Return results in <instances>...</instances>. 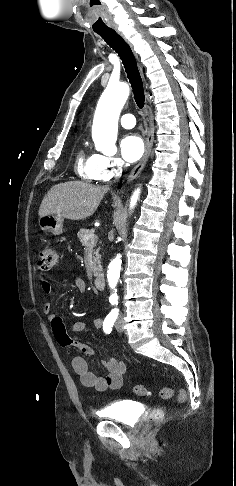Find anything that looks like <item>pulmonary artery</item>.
I'll list each match as a JSON object with an SVG mask.
<instances>
[{"label": "pulmonary artery", "instance_id": "pulmonary-artery-1", "mask_svg": "<svg viewBox=\"0 0 236 486\" xmlns=\"http://www.w3.org/2000/svg\"><path fill=\"white\" fill-rule=\"evenodd\" d=\"M120 124L126 129H131L136 124L135 117L132 114H123L120 118Z\"/></svg>", "mask_w": 236, "mask_h": 486}]
</instances>
